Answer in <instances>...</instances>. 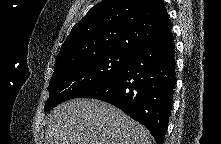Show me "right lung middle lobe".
I'll return each mask as SVG.
<instances>
[{
  "label": "right lung middle lobe",
  "mask_w": 221,
  "mask_h": 144,
  "mask_svg": "<svg viewBox=\"0 0 221 144\" xmlns=\"http://www.w3.org/2000/svg\"><path fill=\"white\" fill-rule=\"evenodd\" d=\"M132 55L121 51L99 53L61 65L54 69L49 84V99L44 111L73 98L109 80L131 59Z\"/></svg>",
  "instance_id": "obj_1"
}]
</instances>
